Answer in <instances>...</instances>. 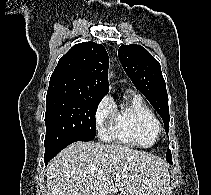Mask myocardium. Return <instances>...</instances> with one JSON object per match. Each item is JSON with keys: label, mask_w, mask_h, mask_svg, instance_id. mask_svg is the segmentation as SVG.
<instances>
[{"label": "myocardium", "mask_w": 211, "mask_h": 195, "mask_svg": "<svg viewBox=\"0 0 211 195\" xmlns=\"http://www.w3.org/2000/svg\"><path fill=\"white\" fill-rule=\"evenodd\" d=\"M158 135L160 134V128L158 129V133H157Z\"/></svg>", "instance_id": "obj_1"}]
</instances>
